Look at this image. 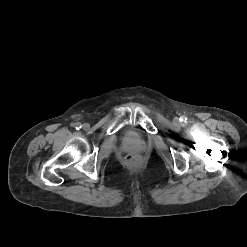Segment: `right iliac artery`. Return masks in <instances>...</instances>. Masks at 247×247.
Returning a JSON list of instances; mask_svg holds the SVG:
<instances>
[{
	"label": "right iliac artery",
	"mask_w": 247,
	"mask_h": 247,
	"mask_svg": "<svg viewBox=\"0 0 247 247\" xmlns=\"http://www.w3.org/2000/svg\"><path fill=\"white\" fill-rule=\"evenodd\" d=\"M74 127H75L77 130H79V129L81 128V123L76 122V123L74 124Z\"/></svg>",
	"instance_id": "1"
}]
</instances>
